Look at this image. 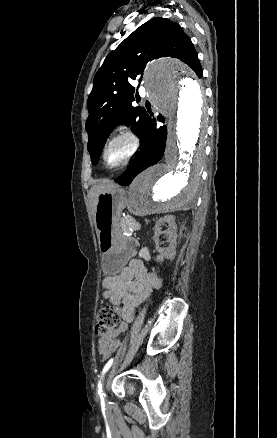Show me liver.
<instances>
[{
  "label": "liver",
  "instance_id": "6515ba94",
  "mask_svg": "<svg viewBox=\"0 0 277 438\" xmlns=\"http://www.w3.org/2000/svg\"><path fill=\"white\" fill-rule=\"evenodd\" d=\"M111 188H116V184H112V186H104V184H100V186H93L90 190V194L92 198H94L93 204H95V200L98 194H103V192H110Z\"/></svg>",
  "mask_w": 277,
  "mask_h": 438
}]
</instances>
